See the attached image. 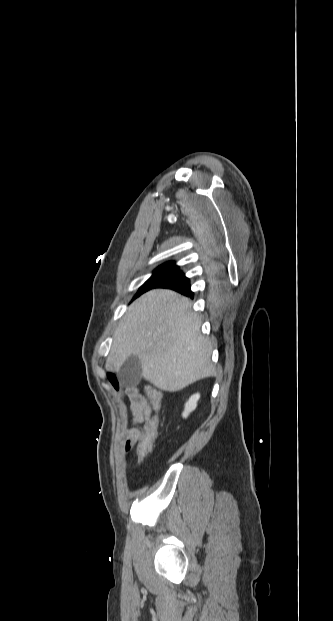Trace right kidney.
Masks as SVG:
<instances>
[{
    "instance_id": "1",
    "label": "right kidney",
    "mask_w": 333,
    "mask_h": 621,
    "mask_svg": "<svg viewBox=\"0 0 333 621\" xmlns=\"http://www.w3.org/2000/svg\"><path fill=\"white\" fill-rule=\"evenodd\" d=\"M199 398V393L193 394L189 398V400L185 403L184 411L182 413L183 418H187L189 414L196 409Z\"/></svg>"
}]
</instances>
